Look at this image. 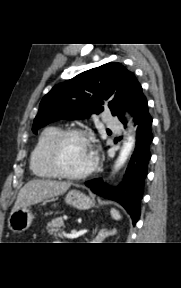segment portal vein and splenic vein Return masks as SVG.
I'll return each mask as SVG.
<instances>
[{
    "label": "portal vein and splenic vein",
    "mask_w": 181,
    "mask_h": 288,
    "mask_svg": "<svg viewBox=\"0 0 181 288\" xmlns=\"http://www.w3.org/2000/svg\"><path fill=\"white\" fill-rule=\"evenodd\" d=\"M85 233H87V230H80L78 232H72V233L63 232V235L69 239H75L81 235H84Z\"/></svg>",
    "instance_id": "obj_1"
}]
</instances>
